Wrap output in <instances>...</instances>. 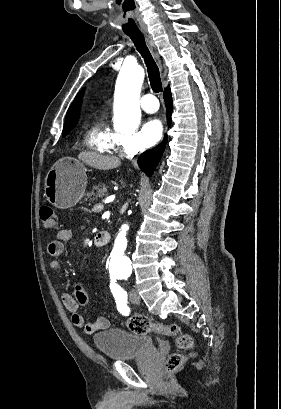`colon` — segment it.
<instances>
[{
  "label": "colon",
  "mask_w": 281,
  "mask_h": 409,
  "mask_svg": "<svg viewBox=\"0 0 281 409\" xmlns=\"http://www.w3.org/2000/svg\"><path fill=\"white\" fill-rule=\"evenodd\" d=\"M41 220L45 229L55 230L58 228L57 215L52 206L42 205L41 206ZM128 328L139 334L147 333H157L164 334L167 336H177V345L181 349H189L191 346V339L187 334L180 331L177 324H162L154 322L146 315L135 314L131 316L126 322ZM184 356L180 354H175L169 357L167 361L168 370H175L179 368L184 362Z\"/></svg>",
  "instance_id": "1"
}]
</instances>
